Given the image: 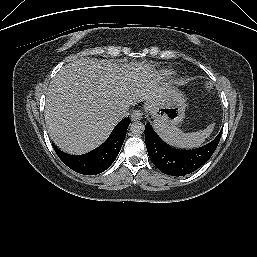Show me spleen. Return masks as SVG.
Segmentation results:
<instances>
[{"label":"spleen","mask_w":257,"mask_h":257,"mask_svg":"<svg viewBox=\"0 0 257 257\" xmlns=\"http://www.w3.org/2000/svg\"><path fill=\"white\" fill-rule=\"evenodd\" d=\"M214 123L210 124L204 130L192 133H184L176 126L160 127L154 124V128L160 138L167 144L177 148H195L199 147L206 138L210 136L214 129Z\"/></svg>","instance_id":"spleen-1"}]
</instances>
